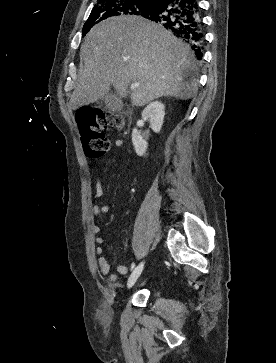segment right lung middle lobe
<instances>
[{"mask_svg":"<svg viewBox=\"0 0 276 363\" xmlns=\"http://www.w3.org/2000/svg\"><path fill=\"white\" fill-rule=\"evenodd\" d=\"M155 6L156 4L149 0H99L84 24L82 35H86L94 25L109 17L123 15L141 16Z\"/></svg>","mask_w":276,"mask_h":363,"instance_id":"obj_1","label":"right lung middle lobe"}]
</instances>
